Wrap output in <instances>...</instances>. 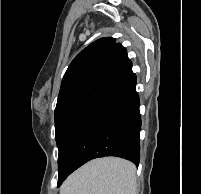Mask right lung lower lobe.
<instances>
[{"instance_id":"right-lung-lower-lobe-1","label":"right lung lower lobe","mask_w":201,"mask_h":194,"mask_svg":"<svg viewBox=\"0 0 201 194\" xmlns=\"http://www.w3.org/2000/svg\"><path fill=\"white\" fill-rule=\"evenodd\" d=\"M136 75L96 96L71 120L58 146V187L87 161L117 156L138 165L141 118Z\"/></svg>"}]
</instances>
